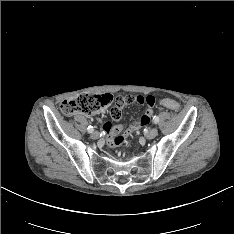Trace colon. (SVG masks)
Wrapping results in <instances>:
<instances>
[{
	"label": "colon",
	"instance_id": "colon-1",
	"mask_svg": "<svg viewBox=\"0 0 234 234\" xmlns=\"http://www.w3.org/2000/svg\"><path fill=\"white\" fill-rule=\"evenodd\" d=\"M117 98H119V96ZM112 101L113 97L108 93H103V94L84 93L64 100L60 105V110L62 114L66 116H71L77 113L92 115L103 109L108 108L111 105ZM162 102L165 106H167L171 110L178 111L180 109L179 103L174 100L164 99Z\"/></svg>",
	"mask_w": 234,
	"mask_h": 234
}]
</instances>
